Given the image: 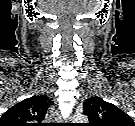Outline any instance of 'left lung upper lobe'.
<instances>
[{"instance_id":"5c2ea615","label":"left lung upper lobe","mask_w":135,"mask_h":126,"mask_svg":"<svg viewBox=\"0 0 135 126\" xmlns=\"http://www.w3.org/2000/svg\"><path fill=\"white\" fill-rule=\"evenodd\" d=\"M83 113L88 116V126H135L128 114L98 96L83 102Z\"/></svg>"}]
</instances>
